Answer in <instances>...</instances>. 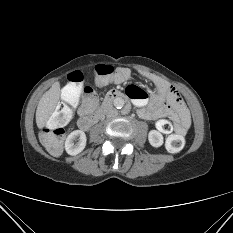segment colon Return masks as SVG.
Instances as JSON below:
<instances>
[{
	"instance_id": "colon-1",
	"label": "colon",
	"mask_w": 233,
	"mask_h": 233,
	"mask_svg": "<svg viewBox=\"0 0 233 233\" xmlns=\"http://www.w3.org/2000/svg\"><path fill=\"white\" fill-rule=\"evenodd\" d=\"M114 68L110 65L99 64L94 68L95 83L99 86L106 85L114 76ZM95 98L93 88L84 85L83 73L79 70L71 72L67 77V84L62 90V101L57 105L40 135V140L52 154H59L65 136V125L72 116V110L77 105L80 95ZM185 139L182 135L173 134L168 137L166 147L171 152L183 149Z\"/></svg>"
}]
</instances>
